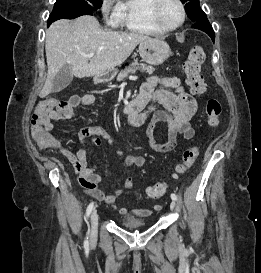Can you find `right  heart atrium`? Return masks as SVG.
I'll use <instances>...</instances> for the list:
<instances>
[{
	"label": "right heart atrium",
	"instance_id": "right-heart-atrium-1",
	"mask_svg": "<svg viewBox=\"0 0 261 273\" xmlns=\"http://www.w3.org/2000/svg\"><path fill=\"white\" fill-rule=\"evenodd\" d=\"M117 9V0H102L101 10L104 17L112 24H116L115 12Z\"/></svg>",
	"mask_w": 261,
	"mask_h": 273
}]
</instances>
